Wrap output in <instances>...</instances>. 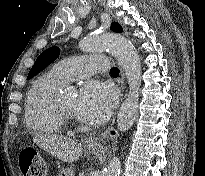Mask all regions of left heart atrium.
Listing matches in <instances>:
<instances>
[{
    "mask_svg": "<svg viewBox=\"0 0 205 176\" xmlns=\"http://www.w3.org/2000/svg\"><path fill=\"white\" fill-rule=\"evenodd\" d=\"M115 102L116 93L109 84L90 80L79 91L75 113L87 123H103L110 116Z\"/></svg>",
    "mask_w": 205,
    "mask_h": 176,
    "instance_id": "1",
    "label": "left heart atrium"
}]
</instances>
